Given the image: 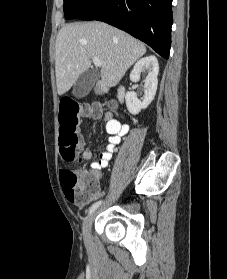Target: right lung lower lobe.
Listing matches in <instances>:
<instances>
[{
    "label": "right lung lower lobe",
    "mask_w": 227,
    "mask_h": 279,
    "mask_svg": "<svg viewBox=\"0 0 227 279\" xmlns=\"http://www.w3.org/2000/svg\"><path fill=\"white\" fill-rule=\"evenodd\" d=\"M79 19L106 22L169 57L172 0H94Z\"/></svg>",
    "instance_id": "obj_1"
}]
</instances>
